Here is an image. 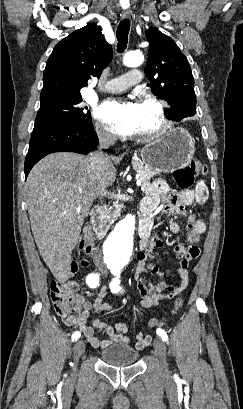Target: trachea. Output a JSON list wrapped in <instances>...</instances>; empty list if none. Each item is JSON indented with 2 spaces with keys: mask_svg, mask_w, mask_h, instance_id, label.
Masks as SVG:
<instances>
[{
  "mask_svg": "<svg viewBox=\"0 0 243 409\" xmlns=\"http://www.w3.org/2000/svg\"><path fill=\"white\" fill-rule=\"evenodd\" d=\"M129 30H130L129 19L122 20L117 27L116 31V37L118 40L117 51L120 53L126 49Z\"/></svg>",
  "mask_w": 243,
  "mask_h": 409,
  "instance_id": "trachea-1",
  "label": "trachea"
}]
</instances>
